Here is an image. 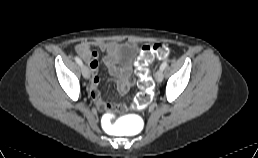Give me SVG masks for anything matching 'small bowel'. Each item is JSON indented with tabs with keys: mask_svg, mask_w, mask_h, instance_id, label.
<instances>
[{
	"mask_svg": "<svg viewBox=\"0 0 258 158\" xmlns=\"http://www.w3.org/2000/svg\"><path fill=\"white\" fill-rule=\"evenodd\" d=\"M94 47L106 54L104 57V63L110 76L116 82L120 94L125 95L134 85L135 79L130 65H126L124 67L116 66L120 49V46L117 43L97 40L83 41L76 45V51L83 60L87 62L92 73L89 95L98 108L107 109L110 108V106L105 102L103 96L98 91L100 83V76L98 73L99 55L97 52L92 50Z\"/></svg>",
	"mask_w": 258,
	"mask_h": 158,
	"instance_id": "obj_1",
	"label": "small bowel"
}]
</instances>
